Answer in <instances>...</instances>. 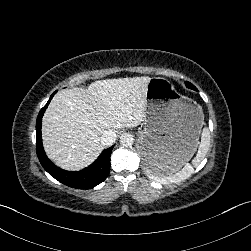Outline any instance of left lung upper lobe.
Instances as JSON below:
<instances>
[{"instance_id": "5c2ea615", "label": "left lung upper lobe", "mask_w": 251, "mask_h": 251, "mask_svg": "<svg viewBox=\"0 0 251 251\" xmlns=\"http://www.w3.org/2000/svg\"><path fill=\"white\" fill-rule=\"evenodd\" d=\"M186 86H187L188 88H191V89L197 91L196 87H195L194 85H192L191 83H189V82H186Z\"/></svg>"}]
</instances>
